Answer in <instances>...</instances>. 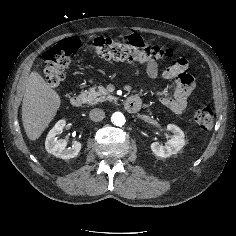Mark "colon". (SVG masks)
I'll return each mask as SVG.
<instances>
[{
  "instance_id": "5ec220e1",
  "label": "colon",
  "mask_w": 236,
  "mask_h": 236,
  "mask_svg": "<svg viewBox=\"0 0 236 236\" xmlns=\"http://www.w3.org/2000/svg\"><path fill=\"white\" fill-rule=\"evenodd\" d=\"M79 48V40L75 37L59 41L44 52V77L51 86L60 85L65 78V69L70 62V56ZM94 53L104 59L123 60L149 64L165 57H170L172 51L157 46H145L140 42L116 41L106 37H98L91 45ZM196 123L204 130L211 129L214 122L212 109L201 107L194 112Z\"/></svg>"
}]
</instances>
